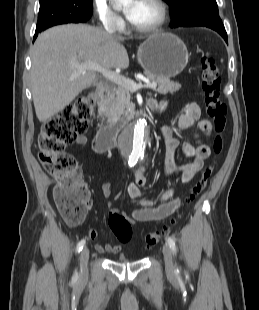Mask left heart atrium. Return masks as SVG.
Instances as JSON below:
<instances>
[{"label":"left heart atrium","instance_id":"1","mask_svg":"<svg viewBox=\"0 0 259 310\" xmlns=\"http://www.w3.org/2000/svg\"><path fill=\"white\" fill-rule=\"evenodd\" d=\"M138 0L136 1H133L132 2V5L130 7L127 8L125 14H126V17L131 21L133 15H134V10H135V5L137 3Z\"/></svg>","mask_w":259,"mask_h":310}]
</instances>
